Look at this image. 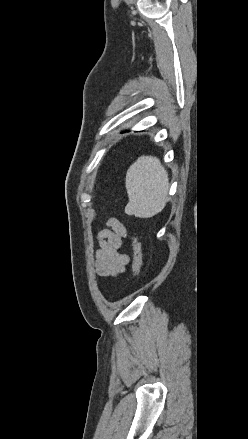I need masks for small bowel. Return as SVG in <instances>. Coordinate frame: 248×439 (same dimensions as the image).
<instances>
[{"instance_id": "1", "label": "small bowel", "mask_w": 248, "mask_h": 439, "mask_svg": "<svg viewBox=\"0 0 248 439\" xmlns=\"http://www.w3.org/2000/svg\"><path fill=\"white\" fill-rule=\"evenodd\" d=\"M127 236V229L117 218L107 221V228L99 232L98 248L95 252V269L99 276L116 277L126 271L130 261L123 253V239Z\"/></svg>"}]
</instances>
